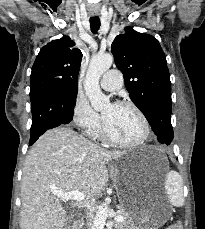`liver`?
Masks as SVG:
<instances>
[{
  "instance_id": "1",
  "label": "liver",
  "mask_w": 205,
  "mask_h": 229,
  "mask_svg": "<svg viewBox=\"0 0 205 229\" xmlns=\"http://www.w3.org/2000/svg\"><path fill=\"white\" fill-rule=\"evenodd\" d=\"M125 153L104 150L67 127L45 132L25 159L20 229H62L68 217L53 191L83 192L86 199L75 205H87L108 181L106 164Z\"/></svg>"
}]
</instances>
